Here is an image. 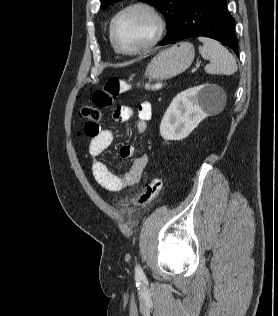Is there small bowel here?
Returning <instances> with one entry per match:
<instances>
[{
  "label": "small bowel",
  "mask_w": 278,
  "mask_h": 316,
  "mask_svg": "<svg viewBox=\"0 0 278 316\" xmlns=\"http://www.w3.org/2000/svg\"><path fill=\"white\" fill-rule=\"evenodd\" d=\"M136 129L138 134H144L147 130L148 122L152 116V107L149 101H143L136 110ZM134 110L127 105H119L112 113L115 122H125L131 119ZM90 138L88 153L91 157V170L96 182L104 189L111 192H121L128 187L135 186L141 180L143 171L147 164L146 155L135 156L133 146L126 145L120 150V155L124 158L134 157L129 170L122 176H118L110 171L108 166L99 157L111 145L114 139L113 132L109 129H99Z\"/></svg>",
  "instance_id": "c3829d8e"
}]
</instances>
